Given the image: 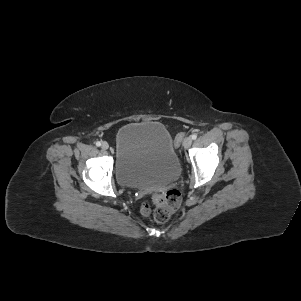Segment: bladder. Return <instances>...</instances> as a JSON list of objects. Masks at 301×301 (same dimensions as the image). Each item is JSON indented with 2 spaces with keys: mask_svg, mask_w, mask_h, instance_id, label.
Listing matches in <instances>:
<instances>
[{
  "mask_svg": "<svg viewBox=\"0 0 301 301\" xmlns=\"http://www.w3.org/2000/svg\"><path fill=\"white\" fill-rule=\"evenodd\" d=\"M115 175L125 187H162L181 170L172 137L158 122L123 125L116 135Z\"/></svg>",
  "mask_w": 301,
  "mask_h": 301,
  "instance_id": "1",
  "label": "bladder"
}]
</instances>
